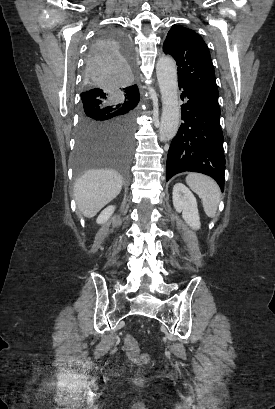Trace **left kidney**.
<instances>
[{"instance_id": "5707ae66", "label": "left kidney", "mask_w": 275, "mask_h": 409, "mask_svg": "<svg viewBox=\"0 0 275 409\" xmlns=\"http://www.w3.org/2000/svg\"><path fill=\"white\" fill-rule=\"evenodd\" d=\"M173 205L177 213H182V217L192 229H200V217L197 209V200L182 182H176L173 186Z\"/></svg>"}]
</instances>
